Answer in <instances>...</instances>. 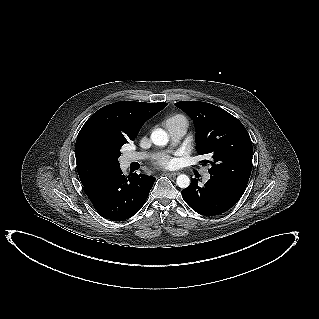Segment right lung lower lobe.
<instances>
[{
    "label": "right lung lower lobe",
    "instance_id": "obj_1",
    "mask_svg": "<svg viewBox=\"0 0 319 319\" xmlns=\"http://www.w3.org/2000/svg\"><path fill=\"white\" fill-rule=\"evenodd\" d=\"M154 181V177L143 174L126 177L118 168L85 185L84 190L101 216L123 221L141 209Z\"/></svg>",
    "mask_w": 319,
    "mask_h": 319
}]
</instances>
